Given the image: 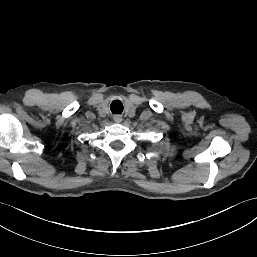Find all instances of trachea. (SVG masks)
<instances>
[{
	"mask_svg": "<svg viewBox=\"0 0 257 257\" xmlns=\"http://www.w3.org/2000/svg\"><path fill=\"white\" fill-rule=\"evenodd\" d=\"M110 110L112 113L121 114L123 111V104L120 100H114L110 105Z\"/></svg>",
	"mask_w": 257,
	"mask_h": 257,
	"instance_id": "trachea-1",
	"label": "trachea"
}]
</instances>
